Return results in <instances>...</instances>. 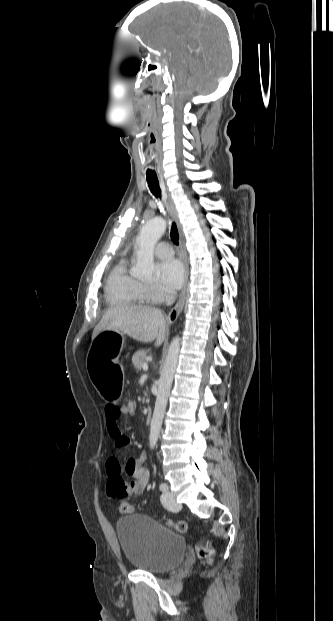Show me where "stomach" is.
Instances as JSON below:
<instances>
[{"mask_svg":"<svg viewBox=\"0 0 333 621\" xmlns=\"http://www.w3.org/2000/svg\"><path fill=\"white\" fill-rule=\"evenodd\" d=\"M123 341V333L103 331L92 341L86 356V365L96 392L103 396V400L111 397L116 403L125 389Z\"/></svg>","mask_w":333,"mask_h":621,"instance_id":"obj_1","label":"stomach"}]
</instances>
